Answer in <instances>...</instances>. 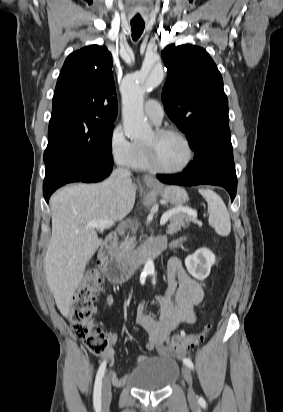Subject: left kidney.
I'll use <instances>...</instances> for the list:
<instances>
[{
  "label": "left kidney",
  "instance_id": "left-kidney-1",
  "mask_svg": "<svg viewBox=\"0 0 283 412\" xmlns=\"http://www.w3.org/2000/svg\"><path fill=\"white\" fill-rule=\"evenodd\" d=\"M215 262V255L210 250L201 248L193 255L186 257L185 266L194 278L204 280L210 274L211 267Z\"/></svg>",
  "mask_w": 283,
  "mask_h": 412
}]
</instances>
